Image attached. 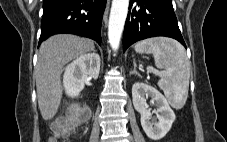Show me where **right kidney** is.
<instances>
[{
    "instance_id": "obj_1",
    "label": "right kidney",
    "mask_w": 227,
    "mask_h": 142,
    "mask_svg": "<svg viewBox=\"0 0 227 142\" xmlns=\"http://www.w3.org/2000/svg\"><path fill=\"white\" fill-rule=\"evenodd\" d=\"M100 71V57L96 53L84 54L71 62L63 76L65 93L77 97L84 89L87 77L97 79Z\"/></svg>"
}]
</instances>
